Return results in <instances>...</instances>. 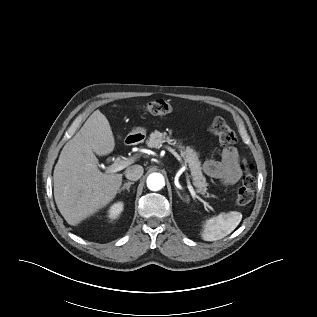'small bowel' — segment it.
Listing matches in <instances>:
<instances>
[{"label": "small bowel", "instance_id": "small-bowel-1", "mask_svg": "<svg viewBox=\"0 0 317 317\" xmlns=\"http://www.w3.org/2000/svg\"><path fill=\"white\" fill-rule=\"evenodd\" d=\"M236 147L229 146L222 150L220 160H208L203 164V172L208 177L220 181L224 185H233L241 177L243 170Z\"/></svg>", "mask_w": 317, "mask_h": 317}]
</instances>
